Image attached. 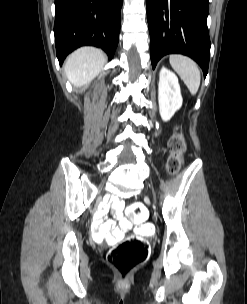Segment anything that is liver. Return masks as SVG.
Returning a JSON list of instances; mask_svg holds the SVG:
<instances>
[{
    "label": "liver",
    "mask_w": 247,
    "mask_h": 304,
    "mask_svg": "<svg viewBox=\"0 0 247 304\" xmlns=\"http://www.w3.org/2000/svg\"><path fill=\"white\" fill-rule=\"evenodd\" d=\"M106 63V55L100 49L82 47L66 60L64 70L74 86H83L94 79Z\"/></svg>",
    "instance_id": "6515ba94"
}]
</instances>
